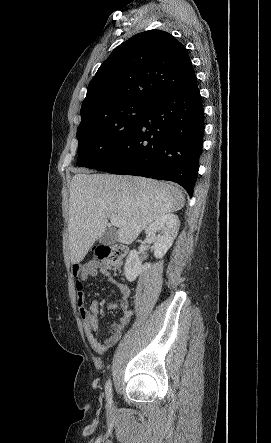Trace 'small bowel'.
I'll list each match as a JSON object with an SVG mask.
<instances>
[{
  "label": "small bowel",
  "mask_w": 271,
  "mask_h": 443,
  "mask_svg": "<svg viewBox=\"0 0 271 443\" xmlns=\"http://www.w3.org/2000/svg\"><path fill=\"white\" fill-rule=\"evenodd\" d=\"M73 276L77 278V305L82 320L84 332L88 343L98 353H103L120 339L124 329L129 324L134 312L129 309V299L131 296V290L125 283L117 282L110 274V272L98 264L97 262H90L83 267L74 265L72 268ZM101 274L107 277L110 281L115 283L120 290V298L112 300L107 303L106 307L109 310L120 309L121 313L116 322L111 325L112 333L104 337L102 340L97 338L99 331V303L96 300L90 302L89 308L85 306V293L83 283L91 277H95Z\"/></svg>",
  "instance_id": "c3829d8e"
}]
</instances>
